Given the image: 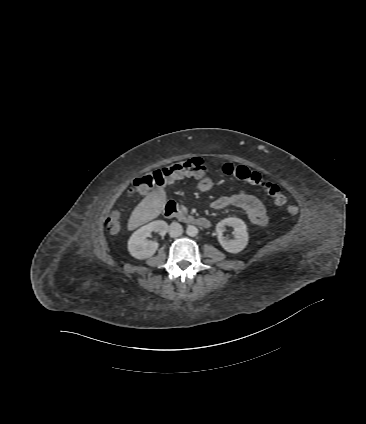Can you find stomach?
Here are the masks:
<instances>
[{
	"mask_svg": "<svg viewBox=\"0 0 366 424\" xmlns=\"http://www.w3.org/2000/svg\"><path fill=\"white\" fill-rule=\"evenodd\" d=\"M213 186H214V183L209 177L201 178L200 181L197 184V188L201 192H207V191L211 190L213 188Z\"/></svg>",
	"mask_w": 366,
	"mask_h": 424,
	"instance_id": "1",
	"label": "stomach"
}]
</instances>
